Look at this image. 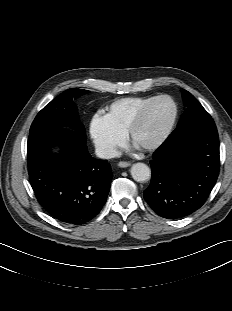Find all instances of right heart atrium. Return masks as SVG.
Segmentation results:
<instances>
[{"instance_id":"d8ad5b80","label":"right heart atrium","mask_w":232,"mask_h":311,"mask_svg":"<svg viewBox=\"0 0 232 311\" xmlns=\"http://www.w3.org/2000/svg\"><path fill=\"white\" fill-rule=\"evenodd\" d=\"M89 133L96 150L103 157L115 155L117 148L123 143V135L116 132L100 114L92 117Z\"/></svg>"}]
</instances>
